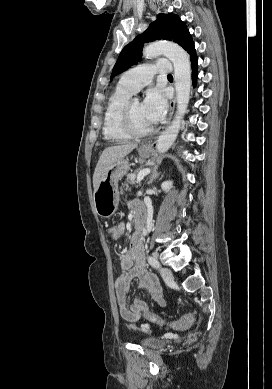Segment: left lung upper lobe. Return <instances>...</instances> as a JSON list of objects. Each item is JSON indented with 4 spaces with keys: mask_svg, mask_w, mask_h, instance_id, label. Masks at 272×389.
<instances>
[{
    "mask_svg": "<svg viewBox=\"0 0 272 389\" xmlns=\"http://www.w3.org/2000/svg\"><path fill=\"white\" fill-rule=\"evenodd\" d=\"M161 39L179 44L188 53L194 48L192 37L178 15L158 14L157 20L152 22L144 33L138 35L122 49L113 67L111 78L140 60L144 42Z\"/></svg>",
    "mask_w": 272,
    "mask_h": 389,
    "instance_id": "obj_1",
    "label": "left lung upper lobe"
}]
</instances>
